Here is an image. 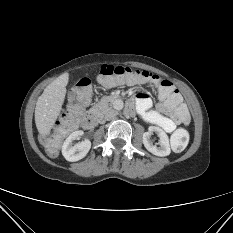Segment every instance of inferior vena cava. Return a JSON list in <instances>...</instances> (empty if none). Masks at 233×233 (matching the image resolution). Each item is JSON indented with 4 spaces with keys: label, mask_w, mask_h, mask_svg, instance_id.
<instances>
[{
    "label": "inferior vena cava",
    "mask_w": 233,
    "mask_h": 233,
    "mask_svg": "<svg viewBox=\"0 0 233 233\" xmlns=\"http://www.w3.org/2000/svg\"><path fill=\"white\" fill-rule=\"evenodd\" d=\"M116 111L114 109H108L106 112H105V115H104V119L109 121V120H112L116 117Z\"/></svg>",
    "instance_id": "1"
}]
</instances>
